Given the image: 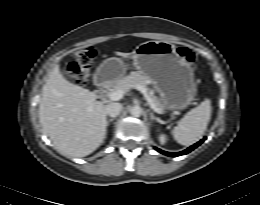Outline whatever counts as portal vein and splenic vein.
<instances>
[{"label": "portal vein and splenic vein", "mask_w": 260, "mask_h": 205, "mask_svg": "<svg viewBox=\"0 0 260 205\" xmlns=\"http://www.w3.org/2000/svg\"><path fill=\"white\" fill-rule=\"evenodd\" d=\"M133 88L137 89L138 91H140L144 95L148 104L154 110V112L159 113V114L162 113L161 110L156 107V105L154 104L152 99L149 97L145 87H143L141 85H135V86H133ZM123 95H124V92L122 90H117V91L112 92L108 96H109V99L111 101H118V100L123 98Z\"/></svg>", "instance_id": "obj_1"}]
</instances>
